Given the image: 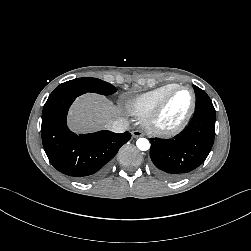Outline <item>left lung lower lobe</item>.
<instances>
[{"mask_svg":"<svg viewBox=\"0 0 251 251\" xmlns=\"http://www.w3.org/2000/svg\"><path fill=\"white\" fill-rule=\"evenodd\" d=\"M214 136L215 113L195 111L188 127L173 139L151 140L153 169L170 180L185 176L205 161Z\"/></svg>","mask_w":251,"mask_h":251,"instance_id":"obj_1","label":"left lung lower lobe"}]
</instances>
